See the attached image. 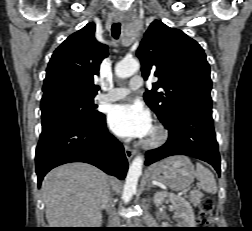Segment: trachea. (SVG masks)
Segmentation results:
<instances>
[{
  "label": "trachea",
  "mask_w": 252,
  "mask_h": 231,
  "mask_svg": "<svg viewBox=\"0 0 252 231\" xmlns=\"http://www.w3.org/2000/svg\"><path fill=\"white\" fill-rule=\"evenodd\" d=\"M120 31H121V24H120V23H114V24L112 25L111 32H112V36H113L115 39H118V38H119Z\"/></svg>",
  "instance_id": "trachea-1"
}]
</instances>
